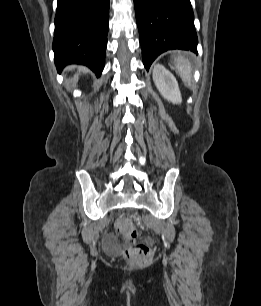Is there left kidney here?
I'll return each instance as SVG.
<instances>
[{
  "label": "left kidney",
  "instance_id": "left-kidney-1",
  "mask_svg": "<svg viewBox=\"0 0 261 306\" xmlns=\"http://www.w3.org/2000/svg\"><path fill=\"white\" fill-rule=\"evenodd\" d=\"M153 80L160 94L174 104L182 102L181 93L175 77L165 67L157 64L153 68Z\"/></svg>",
  "mask_w": 261,
  "mask_h": 306
}]
</instances>
